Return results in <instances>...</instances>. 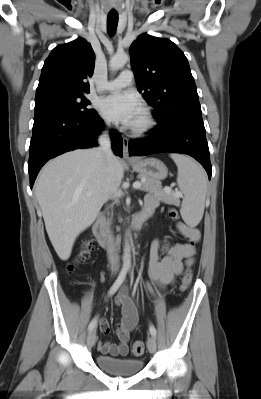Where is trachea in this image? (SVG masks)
<instances>
[{"instance_id":"1","label":"trachea","mask_w":261,"mask_h":399,"mask_svg":"<svg viewBox=\"0 0 261 399\" xmlns=\"http://www.w3.org/2000/svg\"><path fill=\"white\" fill-rule=\"evenodd\" d=\"M118 25V15L108 14L107 16V30L110 35H114Z\"/></svg>"}]
</instances>
